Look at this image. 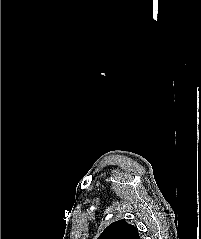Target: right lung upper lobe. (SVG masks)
<instances>
[{"label": "right lung upper lobe", "instance_id": "cb5924a9", "mask_svg": "<svg viewBox=\"0 0 201 239\" xmlns=\"http://www.w3.org/2000/svg\"><path fill=\"white\" fill-rule=\"evenodd\" d=\"M98 239H140L138 230L125 220L111 223Z\"/></svg>", "mask_w": 201, "mask_h": 239}]
</instances>
